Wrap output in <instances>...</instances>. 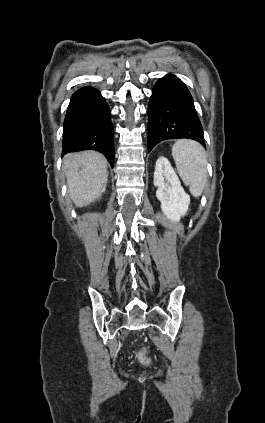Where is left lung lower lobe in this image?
<instances>
[{
  "label": "left lung lower lobe",
  "mask_w": 265,
  "mask_h": 423,
  "mask_svg": "<svg viewBox=\"0 0 265 423\" xmlns=\"http://www.w3.org/2000/svg\"><path fill=\"white\" fill-rule=\"evenodd\" d=\"M189 138L205 146L203 128L185 84L168 74L155 85L148 106V152L166 139Z\"/></svg>",
  "instance_id": "1"
}]
</instances>
